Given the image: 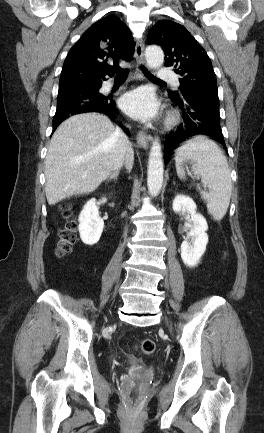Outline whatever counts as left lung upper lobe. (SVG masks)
<instances>
[{
	"label": "left lung upper lobe",
	"instance_id": "obj_1",
	"mask_svg": "<svg viewBox=\"0 0 264 433\" xmlns=\"http://www.w3.org/2000/svg\"><path fill=\"white\" fill-rule=\"evenodd\" d=\"M148 43L160 45L165 53V65L180 75V96L190 91H205L217 95L216 76L205 50L187 29L170 20H161L148 33Z\"/></svg>",
	"mask_w": 264,
	"mask_h": 433
}]
</instances>
